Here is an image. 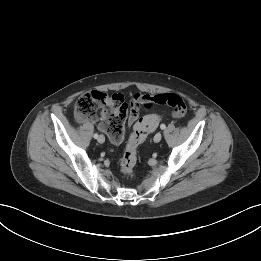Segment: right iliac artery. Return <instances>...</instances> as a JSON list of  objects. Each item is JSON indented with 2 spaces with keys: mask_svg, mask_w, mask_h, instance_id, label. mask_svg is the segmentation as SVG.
Returning a JSON list of instances; mask_svg holds the SVG:
<instances>
[{
  "mask_svg": "<svg viewBox=\"0 0 261 261\" xmlns=\"http://www.w3.org/2000/svg\"><path fill=\"white\" fill-rule=\"evenodd\" d=\"M93 137H94L95 139H97V138H98V134L95 133V134L93 135Z\"/></svg>",
  "mask_w": 261,
  "mask_h": 261,
  "instance_id": "obj_1",
  "label": "right iliac artery"
}]
</instances>
